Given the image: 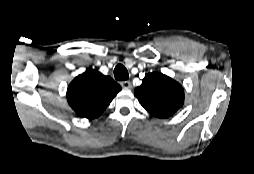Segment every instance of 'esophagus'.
<instances>
[{"label":"esophagus","instance_id":"1","mask_svg":"<svg viewBox=\"0 0 254 174\" xmlns=\"http://www.w3.org/2000/svg\"><path fill=\"white\" fill-rule=\"evenodd\" d=\"M120 85H121L122 88H124V89H130V88L132 87L130 81H122V82H120Z\"/></svg>","mask_w":254,"mask_h":174}]
</instances>
